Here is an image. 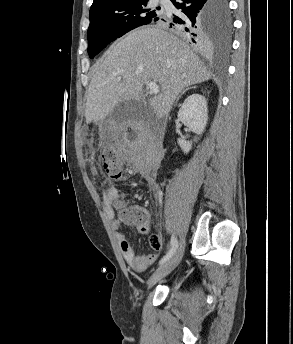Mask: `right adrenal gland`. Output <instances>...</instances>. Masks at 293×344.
<instances>
[{
    "label": "right adrenal gland",
    "mask_w": 293,
    "mask_h": 344,
    "mask_svg": "<svg viewBox=\"0 0 293 344\" xmlns=\"http://www.w3.org/2000/svg\"><path fill=\"white\" fill-rule=\"evenodd\" d=\"M195 88H196V86H193V87H189V88L184 89V90L180 93V95L178 96L177 101H178V99L180 98V96L183 95L185 92H187V91L190 90V89H195Z\"/></svg>",
    "instance_id": "2a0ac1e0"
}]
</instances>
